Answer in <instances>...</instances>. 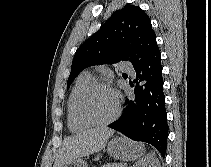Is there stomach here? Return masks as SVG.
I'll use <instances>...</instances> for the list:
<instances>
[{"mask_svg": "<svg viewBox=\"0 0 211 167\" xmlns=\"http://www.w3.org/2000/svg\"><path fill=\"white\" fill-rule=\"evenodd\" d=\"M144 146L140 143H134L123 137H115L107 144V153L122 161H132L139 158L144 153ZM99 158V155L96 159ZM63 167H87V163L82 158H77Z\"/></svg>", "mask_w": 211, "mask_h": 167, "instance_id": "obj_1", "label": "stomach"}]
</instances>
